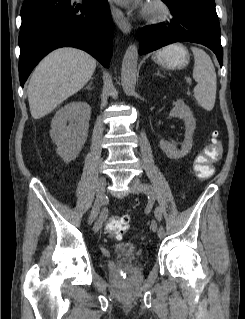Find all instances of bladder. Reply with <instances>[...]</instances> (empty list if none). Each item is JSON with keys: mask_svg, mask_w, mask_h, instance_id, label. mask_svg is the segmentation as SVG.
Instances as JSON below:
<instances>
[{"mask_svg": "<svg viewBox=\"0 0 245 319\" xmlns=\"http://www.w3.org/2000/svg\"><path fill=\"white\" fill-rule=\"evenodd\" d=\"M115 256L136 259L140 256V250L139 247L133 243L123 242L115 246Z\"/></svg>", "mask_w": 245, "mask_h": 319, "instance_id": "bladder-1", "label": "bladder"}]
</instances>
